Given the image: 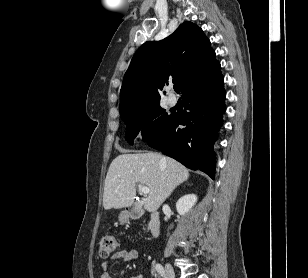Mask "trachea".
<instances>
[{
  "mask_svg": "<svg viewBox=\"0 0 308 278\" xmlns=\"http://www.w3.org/2000/svg\"><path fill=\"white\" fill-rule=\"evenodd\" d=\"M174 90H175L177 93H180V90H181L180 85H179V84L174 85Z\"/></svg>",
  "mask_w": 308,
  "mask_h": 278,
  "instance_id": "trachea-1",
  "label": "trachea"
}]
</instances>
